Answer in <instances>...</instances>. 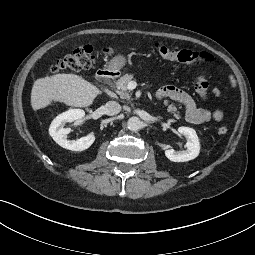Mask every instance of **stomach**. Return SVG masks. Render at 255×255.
<instances>
[{
  "label": "stomach",
  "mask_w": 255,
  "mask_h": 255,
  "mask_svg": "<svg viewBox=\"0 0 255 255\" xmlns=\"http://www.w3.org/2000/svg\"><path fill=\"white\" fill-rule=\"evenodd\" d=\"M125 63H126L125 57L121 54H117L110 60L108 68L112 72H119V70L125 65Z\"/></svg>",
  "instance_id": "stomach-1"
}]
</instances>
